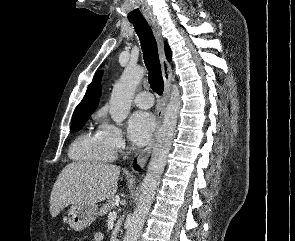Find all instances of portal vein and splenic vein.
<instances>
[{"mask_svg":"<svg viewBox=\"0 0 295 241\" xmlns=\"http://www.w3.org/2000/svg\"><path fill=\"white\" fill-rule=\"evenodd\" d=\"M117 218V213L116 212H110L108 215V219L110 220H115Z\"/></svg>","mask_w":295,"mask_h":241,"instance_id":"1","label":"portal vein and splenic vein"}]
</instances>
